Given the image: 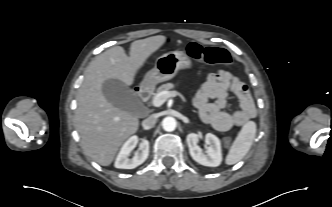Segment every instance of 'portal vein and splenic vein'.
<instances>
[{"instance_id": "obj_1", "label": "portal vein and splenic vein", "mask_w": 332, "mask_h": 207, "mask_svg": "<svg viewBox=\"0 0 332 207\" xmlns=\"http://www.w3.org/2000/svg\"><path fill=\"white\" fill-rule=\"evenodd\" d=\"M174 92L171 91H163L157 94L153 99V105L155 107L161 106L168 98L173 97Z\"/></svg>"}]
</instances>
